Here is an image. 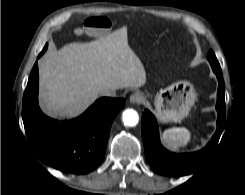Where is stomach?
<instances>
[{"label":"stomach","mask_w":245,"mask_h":195,"mask_svg":"<svg viewBox=\"0 0 245 195\" xmlns=\"http://www.w3.org/2000/svg\"><path fill=\"white\" fill-rule=\"evenodd\" d=\"M196 98V91L189 81H177L156 94V115L163 123L181 122L188 116Z\"/></svg>","instance_id":"stomach-1"}]
</instances>
